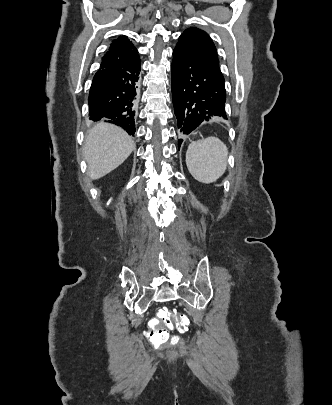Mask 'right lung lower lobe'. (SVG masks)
<instances>
[{
    "label": "right lung lower lobe",
    "mask_w": 332,
    "mask_h": 405,
    "mask_svg": "<svg viewBox=\"0 0 332 405\" xmlns=\"http://www.w3.org/2000/svg\"><path fill=\"white\" fill-rule=\"evenodd\" d=\"M140 59L120 67L100 69L94 76L88 97L92 120L103 117L135 133L134 116L138 105Z\"/></svg>",
    "instance_id": "98d812e1"
}]
</instances>
